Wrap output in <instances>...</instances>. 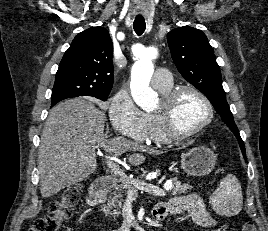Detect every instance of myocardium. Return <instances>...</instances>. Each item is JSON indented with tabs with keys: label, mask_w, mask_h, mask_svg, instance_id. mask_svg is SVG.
<instances>
[{
	"label": "myocardium",
	"mask_w": 268,
	"mask_h": 231,
	"mask_svg": "<svg viewBox=\"0 0 268 231\" xmlns=\"http://www.w3.org/2000/svg\"><path fill=\"white\" fill-rule=\"evenodd\" d=\"M185 92L194 93L204 102L207 108V117L196 128L189 131H180L175 126L174 110L177 100ZM154 114L158 118L164 134L168 138L171 140H184L198 135L211 124L214 118V107L209 97L197 87L180 85L162 97Z\"/></svg>",
	"instance_id": "1"
}]
</instances>
